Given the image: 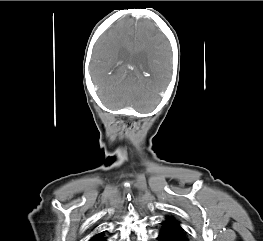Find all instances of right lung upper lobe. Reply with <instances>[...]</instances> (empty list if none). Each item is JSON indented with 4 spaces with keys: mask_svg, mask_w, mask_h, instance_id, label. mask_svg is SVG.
Instances as JSON below:
<instances>
[{
    "mask_svg": "<svg viewBox=\"0 0 263 241\" xmlns=\"http://www.w3.org/2000/svg\"><path fill=\"white\" fill-rule=\"evenodd\" d=\"M103 237V234L102 233H98V234H95L90 241H100V239H102Z\"/></svg>",
    "mask_w": 263,
    "mask_h": 241,
    "instance_id": "obj_1",
    "label": "right lung upper lobe"
}]
</instances>
